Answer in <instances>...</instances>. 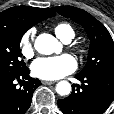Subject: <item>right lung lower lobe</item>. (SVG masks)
I'll use <instances>...</instances> for the list:
<instances>
[{"label":"right lung lower lobe","mask_w":114,"mask_h":114,"mask_svg":"<svg viewBox=\"0 0 114 114\" xmlns=\"http://www.w3.org/2000/svg\"><path fill=\"white\" fill-rule=\"evenodd\" d=\"M16 81L20 87H17ZM40 84L38 79L29 76L27 67L13 76L0 77V114H24Z\"/></svg>","instance_id":"obj_1"}]
</instances>
